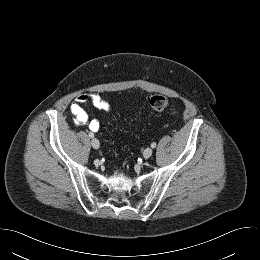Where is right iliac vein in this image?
<instances>
[{
    "instance_id": "63e3f726",
    "label": "right iliac vein",
    "mask_w": 260,
    "mask_h": 260,
    "mask_svg": "<svg viewBox=\"0 0 260 260\" xmlns=\"http://www.w3.org/2000/svg\"><path fill=\"white\" fill-rule=\"evenodd\" d=\"M91 145H92V147H93L94 149H98V148L100 147V143H99V141H98L96 138H93V139L91 140Z\"/></svg>"
}]
</instances>
